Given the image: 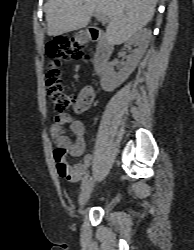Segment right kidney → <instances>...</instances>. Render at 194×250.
<instances>
[{"label": "right kidney", "mask_w": 194, "mask_h": 250, "mask_svg": "<svg viewBox=\"0 0 194 250\" xmlns=\"http://www.w3.org/2000/svg\"><path fill=\"white\" fill-rule=\"evenodd\" d=\"M150 35L149 31H140L126 41L125 48L127 50H131V46L136 47V49L127 56L126 63L118 73L114 71L112 63L106 65L101 75V87L104 91L111 92L119 87L135 70L146 52Z\"/></svg>", "instance_id": "right-kidney-1"}]
</instances>
